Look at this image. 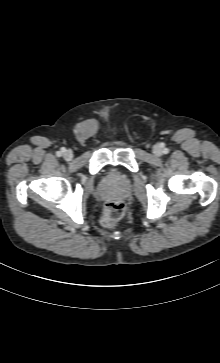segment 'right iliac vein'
<instances>
[{"label": "right iliac vein", "mask_w": 220, "mask_h": 363, "mask_svg": "<svg viewBox=\"0 0 220 363\" xmlns=\"http://www.w3.org/2000/svg\"><path fill=\"white\" fill-rule=\"evenodd\" d=\"M63 157L66 161H71L73 159V153L70 150H66L63 153Z\"/></svg>", "instance_id": "right-iliac-vein-1"}]
</instances>
